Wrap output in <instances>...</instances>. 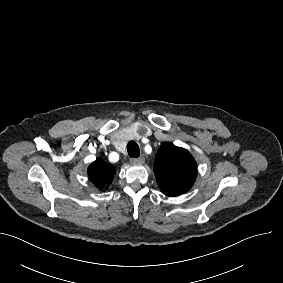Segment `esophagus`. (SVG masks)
I'll list each match as a JSON object with an SVG mask.
<instances>
[{
    "label": "esophagus",
    "instance_id": "obj_1",
    "mask_svg": "<svg viewBox=\"0 0 283 283\" xmlns=\"http://www.w3.org/2000/svg\"><path fill=\"white\" fill-rule=\"evenodd\" d=\"M130 162L134 165H142L145 162L144 156L136 157V158H131Z\"/></svg>",
    "mask_w": 283,
    "mask_h": 283
}]
</instances>
